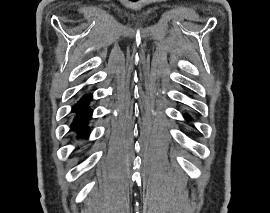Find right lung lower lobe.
<instances>
[{
    "label": "right lung lower lobe",
    "instance_id": "1",
    "mask_svg": "<svg viewBox=\"0 0 270 213\" xmlns=\"http://www.w3.org/2000/svg\"><path fill=\"white\" fill-rule=\"evenodd\" d=\"M90 100L91 95H84L72 109V111L76 113V117L74 118L71 127L79 133V136L82 137L88 136L85 124L92 115V111L88 107Z\"/></svg>",
    "mask_w": 270,
    "mask_h": 213
}]
</instances>
